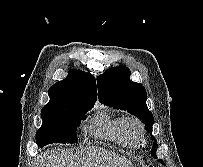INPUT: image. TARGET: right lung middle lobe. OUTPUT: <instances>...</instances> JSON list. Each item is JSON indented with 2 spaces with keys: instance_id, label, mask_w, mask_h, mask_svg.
Wrapping results in <instances>:
<instances>
[{
  "instance_id": "dd1d6c3e",
  "label": "right lung middle lobe",
  "mask_w": 203,
  "mask_h": 167,
  "mask_svg": "<svg viewBox=\"0 0 203 167\" xmlns=\"http://www.w3.org/2000/svg\"><path fill=\"white\" fill-rule=\"evenodd\" d=\"M94 103L93 100L75 101L59 108L41 110L43 123L36 134L38 146L76 143L77 126Z\"/></svg>"
}]
</instances>
